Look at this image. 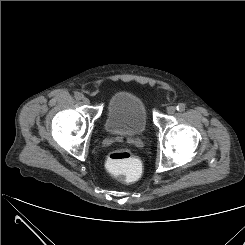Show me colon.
I'll return each instance as SVG.
<instances>
[{
    "instance_id": "5ec220e1",
    "label": "colon",
    "mask_w": 245,
    "mask_h": 245,
    "mask_svg": "<svg viewBox=\"0 0 245 245\" xmlns=\"http://www.w3.org/2000/svg\"><path fill=\"white\" fill-rule=\"evenodd\" d=\"M106 166L112 171L124 173L128 183L137 181L139 177L140 162L127 149L119 148L110 152L106 158Z\"/></svg>"
}]
</instances>
